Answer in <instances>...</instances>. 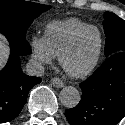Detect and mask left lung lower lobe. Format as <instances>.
<instances>
[{
    "label": "left lung lower lobe",
    "mask_w": 125,
    "mask_h": 125,
    "mask_svg": "<svg viewBox=\"0 0 125 125\" xmlns=\"http://www.w3.org/2000/svg\"><path fill=\"white\" fill-rule=\"evenodd\" d=\"M82 98L65 116L71 125H116L125 116V51L109 57L80 84Z\"/></svg>",
    "instance_id": "left-lung-lower-lobe-1"
}]
</instances>
